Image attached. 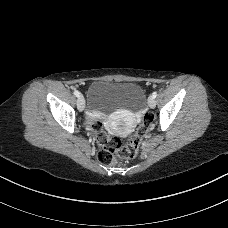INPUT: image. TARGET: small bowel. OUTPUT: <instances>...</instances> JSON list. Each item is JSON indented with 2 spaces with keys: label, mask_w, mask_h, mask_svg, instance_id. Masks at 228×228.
<instances>
[{
  "label": "small bowel",
  "mask_w": 228,
  "mask_h": 228,
  "mask_svg": "<svg viewBox=\"0 0 228 228\" xmlns=\"http://www.w3.org/2000/svg\"><path fill=\"white\" fill-rule=\"evenodd\" d=\"M97 138H98L99 141H102L104 139V133L98 134V137Z\"/></svg>",
  "instance_id": "1"
}]
</instances>
